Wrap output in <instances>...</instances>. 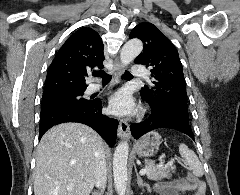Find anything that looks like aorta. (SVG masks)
<instances>
[{
  "label": "aorta",
  "instance_id": "obj_1",
  "mask_svg": "<svg viewBox=\"0 0 240 195\" xmlns=\"http://www.w3.org/2000/svg\"><path fill=\"white\" fill-rule=\"evenodd\" d=\"M143 50L141 40H129L124 44L120 52V60L123 66H128L132 60H135ZM129 145L127 141L118 143L113 157V177L118 195H125L127 189V159Z\"/></svg>",
  "mask_w": 240,
  "mask_h": 195
}]
</instances>
